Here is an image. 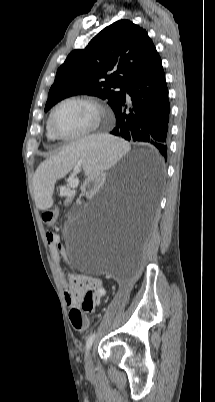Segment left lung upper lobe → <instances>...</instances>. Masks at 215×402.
<instances>
[{
  "mask_svg": "<svg viewBox=\"0 0 215 402\" xmlns=\"http://www.w3.org/2000/svg\"><path fill=\"white\" fill-rule=\"evenodd\" d=\"M159 54L145 29L119 20L99 32L84 49L72 51L57 70L45 106L78 94L107 100L113 111L131 80L143 73ZM114 88H121L114 91Z\"/></svg>",
  "mask_w": 215,
  "mask_h": 402,
  "instance_id": "left-lung-upper-lobe-1",
  "label": "left lung upper lobe"
}]
</instances>
